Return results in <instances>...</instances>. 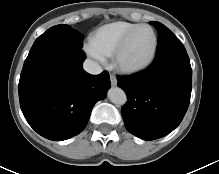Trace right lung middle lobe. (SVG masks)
Returning <instances> with one entry per match:
<instances>
[{"label":"right lung middle lobe","mask_w":219,"mask_h":174,"mask_svg":"<svg viewBox=\"0 0 219 174\" xmlns=\"http://www.w3.org/2000/svg\"><path fill=\"white\" fill-rule=\"evenodd\" d=\"M83 35L72 29L69 25H56L49 28L34 42L26 60H29L42 50L53 46H69L81 49Z\"/></svg>","instance_id":"dd1d6c3e"}]
</instances>
